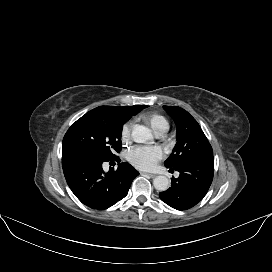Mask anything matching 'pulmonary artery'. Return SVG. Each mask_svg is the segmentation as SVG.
<instances>
[{"instance_id": "e3ab8cb5", "label": "pulmonary artery", "mask_w": 272, "mask_h": 272, "mask_svg": "<svg viewBox=\"0 0 272 272\" xmlns=\"http://www.w3.org/2000/svg\"><path fill=\"white\" fill-rule=\"evenodd\" d=\"M156 135H157L158 137H162V136L164 135V133H163V132H159V133H156Z\"/></svg>"}]
</instances>
